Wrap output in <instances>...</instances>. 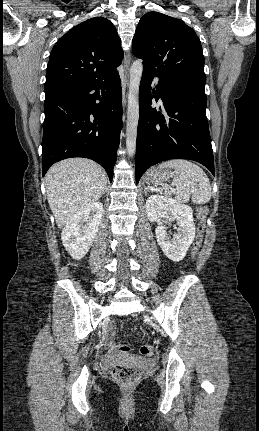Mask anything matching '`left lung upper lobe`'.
Segmentation results:
<instances>
[{"label":"left lung upper lobe","instance_id":"obj_1","mask_svg":"<svg viewBox=\"0 0 259 431\" xmlns=\"http://www.w3.org/2000/svg\"><path fill=\"white\" fill-rule=\"evenodd\" d=\"M133 54L165 79L205 90L204 55L195 31L182 20L149 12L139 21Z\"/></svg>","mask_w":259,"mask_h":431}]
</instances>
